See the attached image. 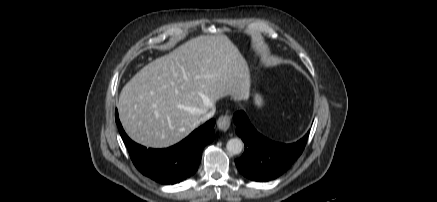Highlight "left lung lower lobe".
Segmentation results:
<instances>
[{
    "instance_id": "left-lung-lower-lobe-1",
    "label": "left lung lower lobe",
    "mask_w": 437,
    "mask_h": 202,
    "mask_svg": "<svg viewBox=\"0 0 437 202\" xmlns=\"http://www.w3.org/2000/svg\"><path fill=\"white\" fill-rule=\"evenodd\" d=\"M233 121L245 145L243 155L235 160L236 166L243 176L259 182L273 180L286 172L302 154L309 136L308 131L299 141L282 144L258 133L244 111L236 112Z\"/></svg>"
}]
</instances>
